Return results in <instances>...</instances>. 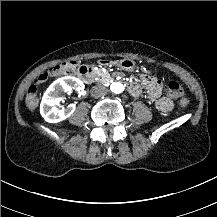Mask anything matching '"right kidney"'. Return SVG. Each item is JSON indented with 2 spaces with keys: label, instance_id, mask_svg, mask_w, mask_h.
Returning a JSON list of instances; mask_svg holds the SVG:
<instances>
[{
  "label": "right kidney",
  "instance_id": "1",
  "mask_svg": "<svg viewBox=\"0 0 217 217\" xmlns=\"http://www.w3.org/2000/svg\"><path fill=\"white\" fill-rule=\"evenodd\" d=\"M84 83L72 76H65L55 80L46 90L40 104V114L49 123H57L68 118L76 108L75 104L58 108V104L63 100V92H70L73 89L77 92L84 90Z\"/></svg>",
  "mask_w": 217,
  "mask_h": 217
}]
</instances>
